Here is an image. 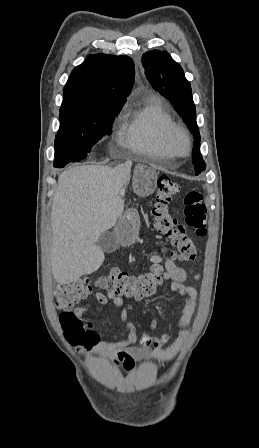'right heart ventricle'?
I'll return each instance as SVG.
<instances>
[{
    "instance_id": "1",
    "label": "right heart ventricle",
    "mask_w": 259,
    "mask_h": 448,
    "mask_svg": "<svg viewBox=\"0 0 259 448\" xmlns=\"http://www.w3.org/2000/svg\"><path fill=\"white\" fill-rule=\"evenodd\" d=\"M173 117L164 108L162 102L152 97L146 104L142 98L124 106L119 118V134L124 144L137 151L159 150L165 152L163 132L171 125ZM141 153H130L133 163H145Z\"/></svg>"
}]
</instances>
